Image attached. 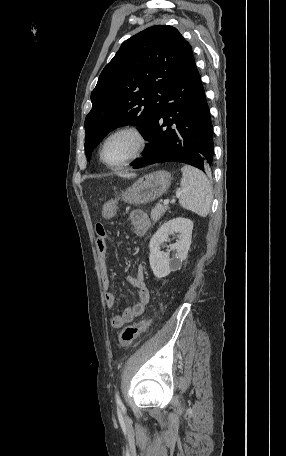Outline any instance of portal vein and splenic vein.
<instances>
[{
  "mask_svg": "<svg viewBox=\"0 0 286 456\" xmlns=\"http://www.w3.org/2000/svg\"><path fill=\"white\" fill-rule=\"evenodd\" d=\"M163 203H164V205H168L169 204V200L165 199Z\"/></svg>",
  "mask_w": 286,
  "mask_h": 456,
  "instance_id": "1",
  "label": "portal vein and splenic vein"
}]
</instances>
